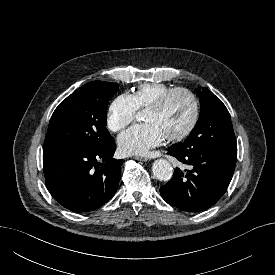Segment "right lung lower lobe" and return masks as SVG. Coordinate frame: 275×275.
Wrapping results in <instances>:
<instances>
[{"label": "right lung lower lobe", "mask_w": 275, "mask_h": 275, "mask_svg": "<svg viewBox=\"0 0 275 275\" xmlns=\"http://www.w3.org/2000/svg\"><path fill=\"white\" fill-rule=\"evenodd\" d=\"M112 139L100 149H43L45 185L52 197L73 212H90L108 202L118 188L124 160L113 159Z\"/></svg>", "instance_id": "obj_1"}]
</instances>
